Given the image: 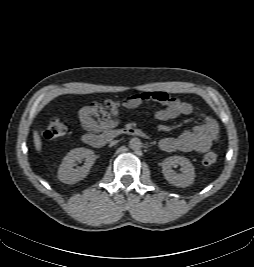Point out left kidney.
I'll return each instance as SVG.
<instances>
[{
    "instance_id": "obj_1",
    "label": "left kidney",
    "mask_w": 254,
    "mask_h": 267,
    "mask_svg": "<svg viewBox=\"0 0 254 267\" xmlns=\"http://www.w3.org/2000/svg\"><path fill=\"white\" fill-rule=\"evenodd\" d=\"M180 165L182 173H176L172 167ZM162 173L172 185L185 188L194 183L195 170L189 159L182 156H171L162 162Z\"/></svg>"
}]
</instances>
